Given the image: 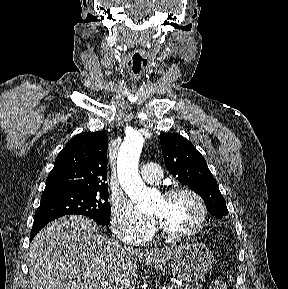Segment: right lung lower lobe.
<instances>
[{
	"label": "right lung lower lobe",
	"instance_id": "obj_1",
	"mask_svg": "<svg viewBox=\"0 0 288 289\" xmlns=\"http://www.w3.org/2000/svg\"><path fill=\"white\" fill-rule=\"evenodd\" d=\"M48 222H38L34 223L31 233H30V241L33 237L47 224Z\"/></svg>",
	"mask_w": 288,
	"mask_h": 289
}]
</instances>
